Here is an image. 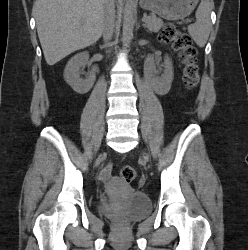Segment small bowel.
<instances>
[{"label": "small bowel", "mask_w": 248, "mask_h": 250, "mask_svg": "<svg viewBox=\"0 0 248 250\" xmlns=\"http://www.w3.org/2000/svg\"><path fill=\"white\" fill-rule=\"evenodd\" d=\"M103 176L106 178V177H108L109 176V169L108 168H105L104 170H103Z\"/></svg>", "instance_id": "c3829d8e"}]
</instances>
